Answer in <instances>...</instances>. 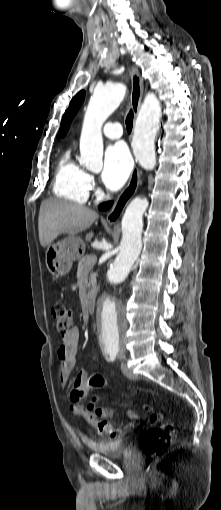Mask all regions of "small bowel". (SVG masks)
<instances>
[{
  "mask_svg": "<svg viewBox=\"0 0 221 510\" xmlns=\"http://www.w3.org/2000/svg\"><path fill=\"white\" fill-rule=\"evenodd\" d=\"M80 331L77 327H73L68 333L62 336V344L57 350L58 358V370H59V381L63 387H65L69 381V377L73 371L79 342ZM96 369V364L93 361H89L86 369L79 372L73 385L71 399L74 402L71 405V411L76 416L85 417V407L79 403L91 388L88 386V379L90 372ZM84 393V396L82 395ZM145 410H150L149 406H144ZM128 416L133 420H139V415L134 410H128ZM106 425L101 433H106L111 440H116L133 427L132 424H124L120 428H113L109 422H105Z\"/></svg>",
  "mask_w": 221,
  "mask_h": 510,
  "instance_id": "small-bowel-1",
  "label": "small bowel"
}]
</instances>
